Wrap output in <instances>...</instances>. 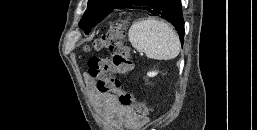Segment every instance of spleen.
<instances>
[{
	"instance_id": "1",
	"label": "spleen",
	"mask_w": 257,
	"mask_h": 130,
	"mask_svg": "<svg viewBox=\"0 0 257 130\" xmlns=\"http://www.w3.org/2000/svg\"><path fill=\"white\" fill-rule=\"evenodd\" d=\"M129 41L138 51L155 60H171L180 52L179 37L166 22L154 18L135 21L129 29Z\"/></svg>"
}]
</instances>
